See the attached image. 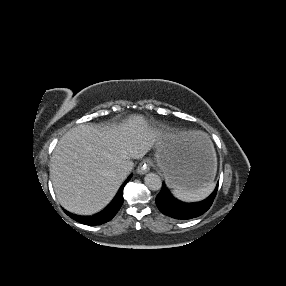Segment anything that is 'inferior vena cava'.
<instances>
[{"mask_svg": "<svg viewBox=\"0 0 286 286\" xmlns=\"http://www.w3.org/2000/svg\"><path fill=\"white\" fill-rule=\"evenodd\" d=\"M132 167H133V164L131 162H124L117 167L116 173L120 177L125 178L129 175Z\"/></svg>", "mask_w": 286, "mask_h": 286, "instance_id": "602c4592", "label": "inferior vena cava"}]
</instances>
